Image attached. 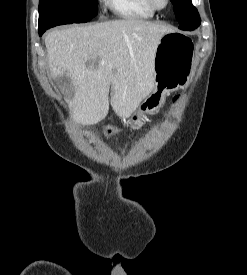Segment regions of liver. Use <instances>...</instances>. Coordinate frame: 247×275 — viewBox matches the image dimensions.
Returning <instances> with one entry per match:
<instances>
[{"mask_svg":"<svg viewBox=\"0 0 247 275\" xmlns=\"http://www.w3.org/2000/svg\"><path fill=\"white\" fill-rule=\"evenodd\" d=\"M172 30L136 18L54 30L45 37L51 76L67 75L62 89L76 123L97 124L109 111L130 117L154 90V57Z\"/></svg>","mask_w":247,"mask_h":275,"instance_id":"obj_1","label":"liver"}]
</instances>
